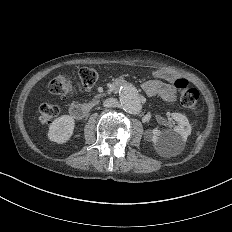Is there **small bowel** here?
<instances>
[{
  "label": "small bowel",
  "instance_id": "c3829d8e",
  "mask_svg": "<svg viewBox=\"0 0 232 232\" xmlns=\"http://www.w3.org/2000/svg\"><path fill=\"white\" fill-rule=\"evenodd\" d=\"M144 89L148 95H161L166 101H173L174 89L169 84H163L156 79H149L144 82Z\"/></svg>",
  "mask_w": 232,
  "mask_h": 232
}]
</instances>
